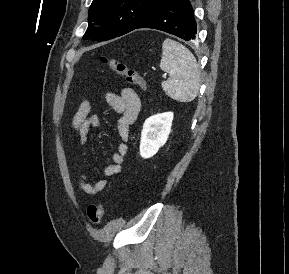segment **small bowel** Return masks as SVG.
<instances>
[{
  "label": "small bowel",
  "instance_id": "small-bowel-1",
  "mask_svg": "<svg viewBox=\"0 0 289 274\" xmlns=\"http://www.w3.org/2000/svg\"><path fill=\"white\" fill-rule=\"evenodd\" d=\"M106 102L119 115L117 131L120 138L117 150L112 154V164L103 169V174L107 177L118 175L122 170L124 157L128 152L127 141L129 139L130 127L136 121L141 110V100L137 93L131 88H123L120 94L106 92ZM91 103L84 98L71 121L72 129L78 139L79 145L83 148L82 157H85V148L88 144V135L91 129L100 125V118L96 114H91ZM83 169L86 168L84 158L80 160ZM80 189L89 195H96L104 190L108 181L106 179L89 180L86 173L81 174L77 179Z\"/></svg>",
  "mask_w": 289,
  "mask_h": 274
}]
</instances>
